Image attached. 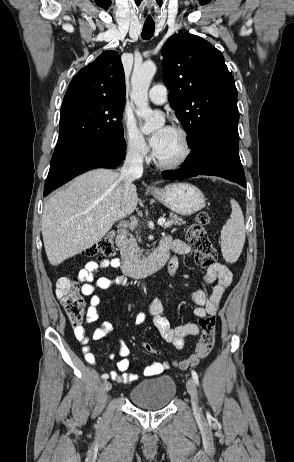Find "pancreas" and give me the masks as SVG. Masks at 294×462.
Instances as JSON below:
<instances>
[{
  "label": "pancreas",
  "instance_id": "1",
  "mask_svg": "<svg viewBox=\"0 0 294 462\" xmlns=\"http://www.w3.org/2000/svg\"><path fill=\"white\" fill-rule=\"evenodd\" d=\"M168 225H164V228H168L172 225H181L185 224V221L176 214H170V218L168 220ZM141 241L140 238H138ZM127 254L132 259H137L141 256V250L137 245V239H135L132 235L127 240Z\"/></svg>",
  "mask_w": 294,
  "mask_h": 462
}]
</instances>
